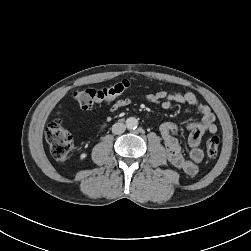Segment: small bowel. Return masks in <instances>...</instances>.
<instances>
[{
	"label": "small bowel",
	"mask_w": 251,
	"mask_h": 251,
	"mask_svg": "<svg viewBox=\"0 0 251 251\" xmlns=\"http://www.w3.org/2000/svg\"><path fill=\"white\" fill-rule=\"evenodd\" d=\"M144 100L149 103L160 105L163 109L171 108L173 103L188 104L194 106L200 115V120L190 122L186 125L189 131L188 144L190 147L189 156L186 158L175 138L177 126L171 122H165L160 126V136L164 143L168 161L177 169L182 170L188 175H196L199 171V164L202 162L204 154L200 148L203 135L206 132L215 133L217 126L215 125V115L211 109L204 103L200 102L196 95L192 92H168L159 91L153 94H147ZM131 103L129 98L121 99L115 102L110 112L114 113L118 109Z\"/></svg>",
	"instance_id": "obj_1"
}]
</instances>
